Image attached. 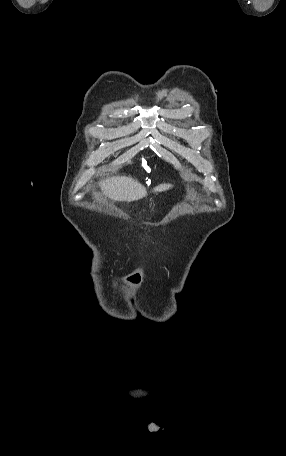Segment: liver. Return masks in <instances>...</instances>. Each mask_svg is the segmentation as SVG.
Returning <instances> with one entry per match:
<instances>
[{
	"label": "liver",
	"instance_id": "obj_1",
	"mask_svg": "<svg viewBox=\"0 0 286 456\" xmlns=\"http://www.w3.org/2000/svg\"><path fill=\"white\" fill-rule=\"evenodd\" d=\"M106 196L114 201H135L146 196L144 186L132 177L116 176L105 179L100 183ZM172 188L171 184H160L153 192H163Z\"/></svg>",
	"mask_w": 286,
	"mask_h": 456
}]
</instances>
